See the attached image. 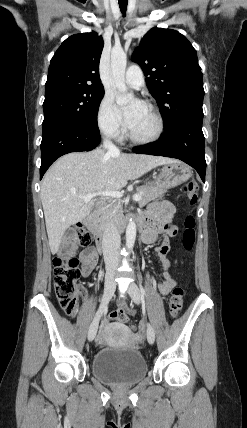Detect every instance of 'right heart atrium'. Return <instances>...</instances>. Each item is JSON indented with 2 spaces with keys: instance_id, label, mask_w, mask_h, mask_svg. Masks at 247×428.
I'll use <instances>...</instances> for the list:
<instances>
[{
  "instance_id": "right-heart-atrium-1",
  "label": "right heart atrium",
  "mask_w": 247,
  "mask_h": 428,
  "mask_svg": "<svg viewBox=\"0 0 247 428\" xmlns=\"http://www.w3.org/2000/svg\"><path fill=\"white\" fill-rule=\"evenodd\" d=\"M97 125L100 131L111 138H119L124 131L121 115L112 96L105 94L97 110Z\"/></svg>"
}]
</instances>
